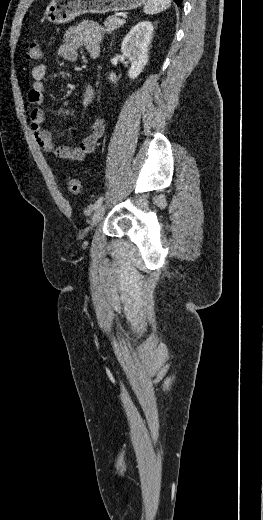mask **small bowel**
Wrapping results in <instances>:
<instances>
[{
  "label": "small bowel",
  "mask_w": 263,
  "mask_h": 520,
  "mask_svg": "<svg viewBox=\"0 0 263 520\" xmlns=\"http://www.w3.org/2000/svg\"><path fill=\"white\" fill-rule=\"evenodd\" d=\"M102 30L94 22H83L70 27L63 35L62 43L58 48V55L66 61L74 62L78 59L79 49L85 48L90 57H97L100 52ZM33 86L28 93V101L33 108L30 112L31 129L41 149L47 153L54 154L60 159L67 161H81L91 154L102 136L105 124L101 118H97L89 127L87 135L77 145H57L53 140L50 130L43 124L45 121L44 110L40 107L45 100L47 67L38 64L32 69ZM94 96L91 85L85 84L83 105L88 106Z\"/></svg>",
  "instance_id": "1"
}]
</instances>
